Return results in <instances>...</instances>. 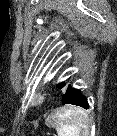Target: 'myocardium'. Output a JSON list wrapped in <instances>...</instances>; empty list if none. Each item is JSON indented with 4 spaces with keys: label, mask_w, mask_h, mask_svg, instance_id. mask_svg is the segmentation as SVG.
I'll return each mask as SVG.
<instances>
[{
    "label": "myocardium",
    "mask_w": 117,
    "mask_h": 136,
    "mask_svg": "<svg viewBox=\"0 0 117 136\" xmlns=\"http://www.w3.org/2000/svg\"><path fill=\"white\" fill-rule=\"evenodd\" d=\"M47 99L46 90L42 87H35L26 95V101L31 107H41Z\"/></svg>",
    "instance_id": "1"
}]
</instances>
